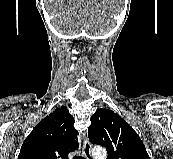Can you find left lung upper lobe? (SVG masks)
Returning <instances> with one entry per match:
<instances>
[{"label": "left lung upper lobe", "mask_w": 173, "mask_h": 159, "mask_svg": "<svg viewBox=\"0 0 173 159\" xmlns=\"http://www.w3.org/2000/svg\"><path fill=\"white\" fill-rule=\"evenodd\" d=\"M88 136L107 149V159H150L138 134L117 113L98 109L91 117Z\"/></svg>", "instance_id": "5c2ea615"}]
</instances>
